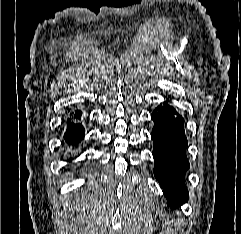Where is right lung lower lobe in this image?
<instances>
[{"mask_svg":"<svg viewBox=\"0 0 241 234\" xmlns=\"http://www.w3.org/2000/svg\"><path fill=\"white\" fill-rule=\"evenodd\" d=\"M81 113L77 111L74 115V119H80ZM84 137V128L80 123L67 121V130L64 136L65 142L68 144H78Z\"/></svg>","mask_w":241,"mask_h":234,"instance_id":"1","label":"right lung lower lobe"}]
</instances>
